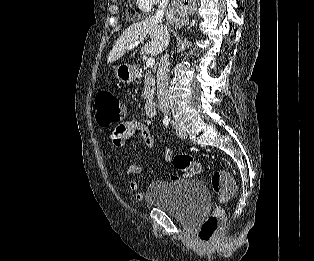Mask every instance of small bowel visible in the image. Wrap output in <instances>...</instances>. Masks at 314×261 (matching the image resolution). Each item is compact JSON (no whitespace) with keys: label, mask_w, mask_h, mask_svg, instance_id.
<instances>
[{"label":"small bowel","mask_w":314,"mask_h":261,"mask_svg":"<svg viewBox=\"0 0 314 261\" xmlns=\"http://www.w3.org/2000/svg\"><path fill=\"white\" fill-rule=\"evenodd\" d=\"M135 134H139L142 137L143 142L148 149H152L154 147V139L149 128L145 124L135 120H128L119 125L115 129L114 133H108V140H113L116 146H124ZM170 156L171 152L168 150L166 152V158L168 159ZM142 172L143 169L134 164L129 165L127 168V173L129 175H138ZM128 187L130 191L134 193V198L137 201L143 198V194L139 191V183L137 180H130Z\"/></svg>","instance_id":"obj_1"}]
</instances>
